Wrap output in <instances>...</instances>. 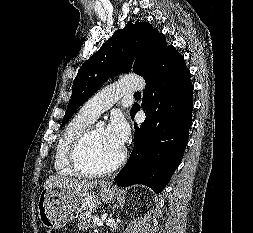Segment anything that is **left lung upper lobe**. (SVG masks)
Listing matches in <instances>:
<instances>
[{"instance_id":"1","label":"left lung upper lobe","mask_w":253,"mask_h":233,"mask_svg":"<svg viewBox=\"0 0 253 233\" xmlns=\"http://www.w3.org/2000/svg\"><path fill=\"white\" fill-rule=\"evenodd\" d=\"M168 48L164 35L152 25L129 21L124 29L117 30L79 69L62 126L109 77L129 72L134 59V73L144 76Z\"/></svg>"}]
</instances>
